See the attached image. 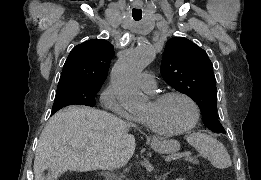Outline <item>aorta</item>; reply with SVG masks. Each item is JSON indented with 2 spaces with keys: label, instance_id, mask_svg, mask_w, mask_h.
Listing matches in <instances>:
<instances>
[{
  "label": "aorta",
  "instance_id": "762f6f07",
  "mask_svg": "<svg viewBox=\"0 0 261 180\" xmlns=\"http://www.w3.org/2000/svg\"><path fill=\"white\" fill-rule=\"evenodd\" d=\"M155 52L143 43L121 56L111 71V82L119 103L128 111L140 110L145 98L138 88V77L153 61Z\"/></svg>",
  "mask_w": 261,
  "mask_h": 180
}]
</instances>
